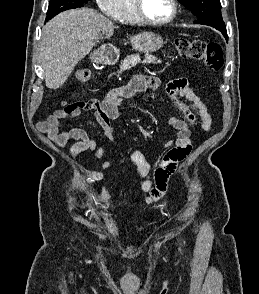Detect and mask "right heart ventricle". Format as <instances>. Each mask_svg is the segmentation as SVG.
Listing matches in <instances>:
<instances>
[{
	"label": "right heart ventricle",
	"instance_id": "e07e8e85",
	"mask_svg": "<svg viewBox=\"0 0 259 294\" xmlns=\"http://www.w3.org/2000/svg\"><path fill=\"white\" fill-rule=\"evenodd\" d=\"M116 20L126 24H138L139 19L136 16L133 0H121L119 10L115 16Z\"/></svg>",
	"mask_w": 259,
	"mask_h": 294
}]
</instances>
